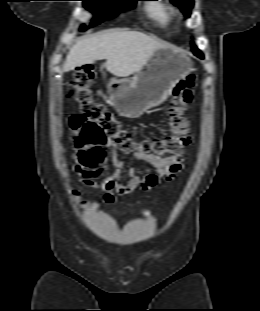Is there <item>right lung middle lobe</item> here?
Listing matches in <instances>:
<instances>
[{
  "label": "right lung middle lobe",
  "mask_w": 260,
  "mask_h": 311,
  "mask_svg": "<svg viewBox=\"0 0 260 311\" xmlns=\"http://www.w3.org/2000/svg\"><path fill=\"white\" fill-rule=\"evenodd\" d=\"M86 9L94 13L95 17L90 27L99 24L104 20L113 18L123 9H131L137 0H81ZM82 27L81 30H86Z\"/></svg>",
  "instance_id": "dd1d6c3e"
}]
</instances>
